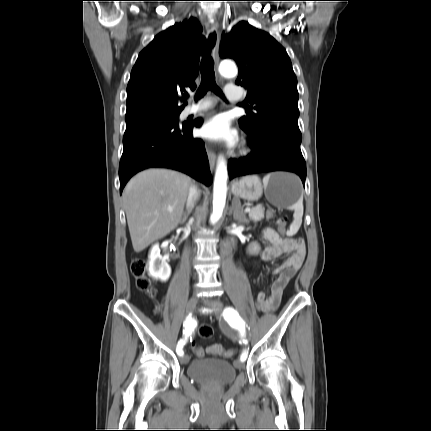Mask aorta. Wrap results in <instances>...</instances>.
Here are the masks:
<instances>
[{
    "mask_svg": "<svg viewBox=\"0 0 431 431\" xmlns=\"http://www.w3.org/2000/svg\"><path fill=\"white\" fill-rule=\"evenodd\" d=\"M219 72L224 77H234L237 75V67L231 61H223L219 66ZM227 178L226 162L223 158H220L214 179L213 212L210 216L211 224H215L223 214L227 195Z\"/></svg>",
    "mask_w": 431,
    "mask_h": 431,
    "instance_id": "762f6f07",
    "label": "aorta"
}]
</instances>
